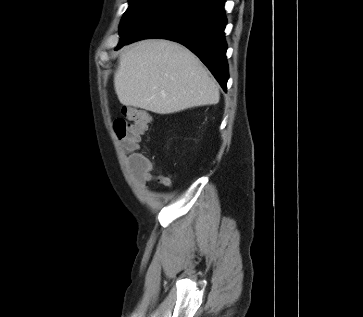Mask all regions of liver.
I'll return each instance as SVG.
<instances>
[{"mask_svg": "<svg viewBox=\"0 0 363 317\" xmlns=\"http://www.w3.org/2000/svg\"><path fill=\"white\" fill-rule=\"evenodd\" d=\"M121 104L158 114L215 105L220 93L200 60L167 40H144L126 47L114 75Z\"/></svg>", "mask_w": 363, "mask_h": 317, "instance_id": "1", "label": "liver"}]
</instances>
